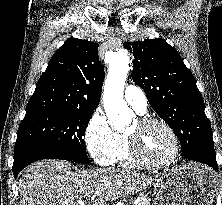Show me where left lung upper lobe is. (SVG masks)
I'll use <instances>...</instances> for the list:
<instances>
[{"label":"left lung upper lobe","mask_w":222,"mask_h":205,"mask_svg":"<svg viewBox=\"0 0 222 205\" xmlns=\"http://www.w3.org/2000/svg\"><path fill=\"white\" fill-rule=\"evenodd\" d=\"M133 51V81L157 114L175 131L181 153L216 159L212 129L191 71L163 39L125 42Z\"/></svg>","instance_id":"1"}]
</instances>
